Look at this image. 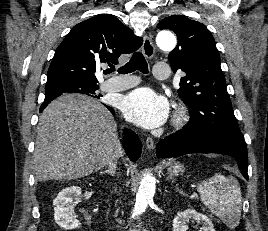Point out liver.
I'll use <instances>...</instances> for the list:
<instances>
[{"instance_id": "liver-1", "label": "liver", "mask_w": 268, "mask_h": 231, "mask_svg": "<svg viewBox=\"0 0 268 231\" xmlns=\"http://www.w3.org/2000/svg\"><path fill=\"white\" fill-rule=\"evenodd\" d=\"M123 155L112 114L95 99L64 94L39 117L33 153L36 181L82 178Z\"/></svg>"}]
</instances>
